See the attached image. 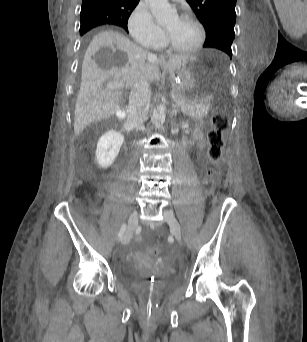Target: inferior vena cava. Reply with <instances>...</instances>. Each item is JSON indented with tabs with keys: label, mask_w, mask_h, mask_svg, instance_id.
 <instances>
[{
	"label": "inferior vena cava",
	"mask_w": 307,
	"mask_h": 342,
	"mask_svg": "<svg viewBox=\"0 0 307 342\" xmlns=\"http://www.w3.org/2000/svg\"><path fill=\"white\" fill-rule=\"evenodd\" d=\"M150 100V84H148L147 80H139L137 84H134L130 92L128 118L127 122H125L127 128H135V130L143 128Z\"/></svg>",
	"instance_id": "inferior-vena-cava-1"
}]
</instances>
